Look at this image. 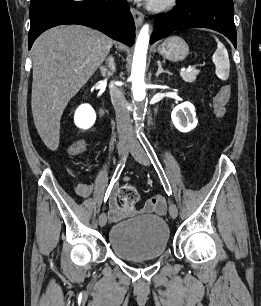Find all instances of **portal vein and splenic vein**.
I'll return each instance as SVG.
<instances>
[{
    "mask_svg": "<svg viewBox=\"0 0 261 306\" xmlns=\"http://www.w3.org/2000/svg\"><path fill=\"white\" fill-rule=\"evenodd\" d=\"M181 71H182V72H191V71H193V68L188 67V68H186V69H182Z\"/></svg>",
    "mask_w": 261,
    "mask_h": 306,
    "instance_id": "1",
    "label": "portal vein and splenic vein"
}]
</instances>
